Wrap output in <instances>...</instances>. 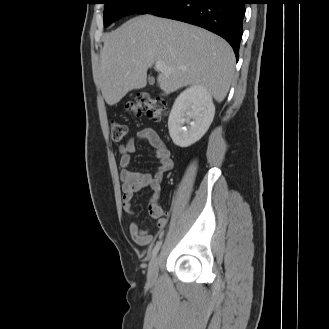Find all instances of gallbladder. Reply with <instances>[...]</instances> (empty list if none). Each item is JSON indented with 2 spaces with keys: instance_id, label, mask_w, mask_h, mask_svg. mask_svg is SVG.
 Listing matches in <instances>:
<instances>
[{
  "instance_id": "bac80fb5",
  "label": "gallbladder",
  "mask_w": 329,
  "mask_h": 329,
  "mask_svg": "<svg viewBox=\"0 0 329 329\" xmlns=\"http://www.w3.org/2000/svg\"><path fill=\"white\" fill-rule=\"evenodd\" d=\"M148 81H149V84H153L154 83V78L153 77H149Z\"/></svg>"
}]
</instances>
